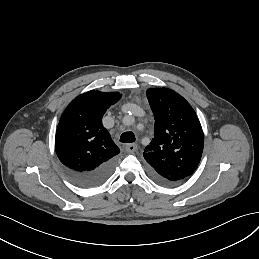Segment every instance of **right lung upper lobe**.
Segmentation results:
<instances>
[{
    "label": "right lung upper lobe",
    "mask_w": 259,
    "mask_h": 259,
    "mask_svg": "<svg viewBox=\"0 0 259 259\" xmlns=\"http://www.w3.org/2000/svg\"><path fill=\"white\" fill-rule=\"evenodd\" d=\"M120 98L118 92L91 90L67 106L55 137V150L65 167L90 171L119 154V148L103 127L102 117Z\"/></svg>",
    "instance_id": "cb5924a9"
}]
</instances>
